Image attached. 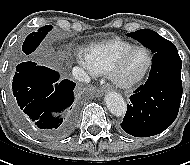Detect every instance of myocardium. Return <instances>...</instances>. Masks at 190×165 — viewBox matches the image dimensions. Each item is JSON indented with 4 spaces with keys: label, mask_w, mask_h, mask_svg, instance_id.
I'll list each match as a JSON object with an SVG mask.
<instances>
[{
    "label": "myocardium",
    "mask_w": 190,
    "mask_h": 165,
    "mask_svg": "<svg viewBox=\"0 0 190 165\" xmlns=\"http://www.w3.org/2000/svg\"><path fill=\"white\" fill-rule=\"evenodd\" d=\"M142 49L145 50L148 54V64L145 70L138 77L134 79H124L122 77V69L125 63L126 58L135 50ZM153 66V54L151 50L144 45H134L129 49L125 50L117 59L110 75L112 82L121 89H131L139 85L150 73Z\"/></svg>",
    "instance_id": "obj_1"
}]
</instances>
